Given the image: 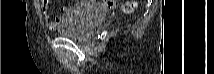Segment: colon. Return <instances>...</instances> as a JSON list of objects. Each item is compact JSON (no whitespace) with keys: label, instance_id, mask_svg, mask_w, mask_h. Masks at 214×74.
<instances>
[{"label":"colon","instance_id":"obj_1","mask_svg":"<svg viewBox=\"0 0 214 74\" xmlns=\"http://www.w3.org/2000/svg\"><path fill=\"white\" fill-rule=\"evenodd\" d=\"M104 5L106 8L109 9H113L117 6V2L116 1H104ZM136 9V2L134 1H130V2H126L122 5V10L124 12H133Z\"/></svg>","mask_w":214,"mask_h":74}]
</instances>
